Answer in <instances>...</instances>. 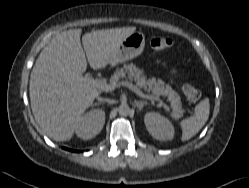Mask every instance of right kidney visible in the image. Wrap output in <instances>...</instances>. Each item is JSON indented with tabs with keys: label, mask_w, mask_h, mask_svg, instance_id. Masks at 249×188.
Listing matches in <instances>:
<instances>
[{
	"label": "right kidney",
	"mask_w": 249,
	"mask_h": 188,
	"mask_svg": "<svg viewBox=\"0 0 249 188\" xmlns=\"http://www.w3.org/2000/svg\"><path fill=\"white\" fill-rule=\"evenodd\" d=\"M105 123V112L94 109L83 115L76 128V134L83 140H89L100 133Z\"/></svg>",
	"instance_id": "right-kidney-1"
}]
</instances>
